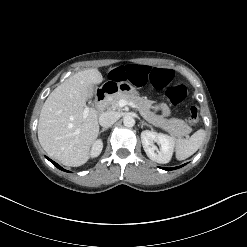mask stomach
<instances>
[{"label":"stomach","instance_id":"0dacf381","mask_svg":"<svg viewBox=\"0 0 247 247\" xmlns=\"http://www.w3.org/2000/svg\"><path fill=\"white\" fill-rule=\"evenodd\" d=\"M120 89H121V92L122 93L134 94V95H137L138 94V92L136 91L135 87H133L129 83L122 84Z\"/></svg>","mask_w":247,"mask_h":247}]
</instances>
